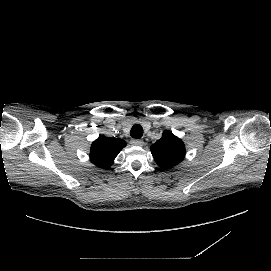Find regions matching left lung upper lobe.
I'll return each instance as SVG.
<instances>
[{"label":"left lung upper lobe","mask_w":271,"mask_h":271,"mask_svg":"<svg viewBox=\"0 0 271 271\" xmlns=\"http://www.w3.org/2000/svg\"><path fill=\"white\" fill-rule=\"evenodd\" d=\"M151 152L159 167L168 169L184 159L185 146L172 132L165 131L162 138L151 146Z\"/></svg>","instance_id":"left-lung-upper-lobe-1"}]
</instances>
